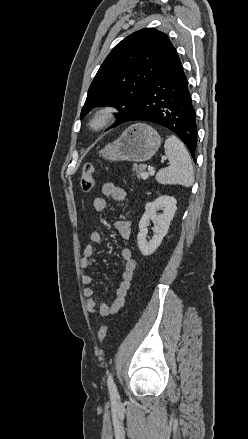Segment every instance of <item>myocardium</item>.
<instances>
[{
	"instance_id": "myocardium-1",
	"label": "myocardium",
	"mask_w": 248,
	"mask_h": 439,
	"mask_svg": "<svg viewBox=\"0 0 248 439\" xmlns=\"http://www.w3.org/2000/svg\"><path fill=\"white\" fill-rule=\"evenodd\" d=\"M114 120V110L108 107L96 110L88 120V128L99 132L109 126Z\"/></svg>"
}]
</instances>
